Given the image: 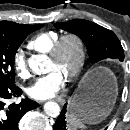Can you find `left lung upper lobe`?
Segmentation results:
<instances>
[{
    "label": "left lung upper lobe",
    "instance_id": "obj_1",
    "mask_svg": "<svg viewBox=\"0 0 130 130\" xmlns=\"http://www.w3.org/2000/svg\"><path fill=\"white\" fill-rule=\"evenodd\" d=\"M54 26L78 35L87 46L91 63L105 59H124L121 43L111 30L83 19L56 23Z\"/></svg>",
    "mask_w": 130,
    "mask_h": 130
}]
</instances>
